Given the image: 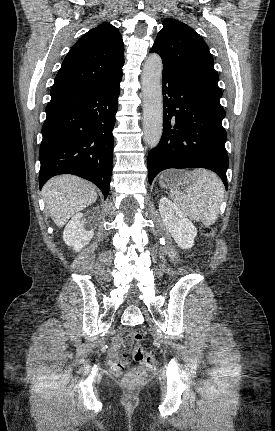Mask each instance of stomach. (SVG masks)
Returning a JSON list of instances; mask_svg holds the SVG:
<instances>
[{"label":"stomach","mask_w":275,"mask_h":431,"mask_svg":"<svg viewBox=\"0 0 275 431\" xmlns=\"http://www.w3.org/2000/svg\"><path fill=\"white\" fill-rule=\"evenodd\" d=\"M192 183L190 177L184 174L178 175L173 171L164 172L159 178V184L164 188H179Z\"/></svg>","instance_id":"obj_1"}]
</instances>
